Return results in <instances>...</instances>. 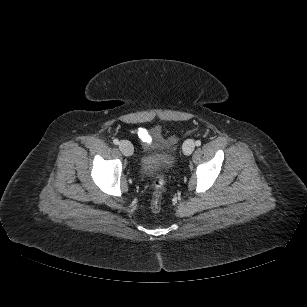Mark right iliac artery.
<instances>
[{
	"label": "right iliac artery",
	"instance_id": "right-iliac-artery-1",
	"mask_svg": "<svg viewBox=\"0 0 307 307\" xmlns=\"http://www.w3.org/2000/svg\"><path fill=\"white\" fill-rule=\"evenodd\" d=\"M113 143H114L115 145H118V144H119V140H118V139H114V140H113Z\"/></svg>",
	"mask_w": 307,
	"mask_h": 307
}]
</instances>
